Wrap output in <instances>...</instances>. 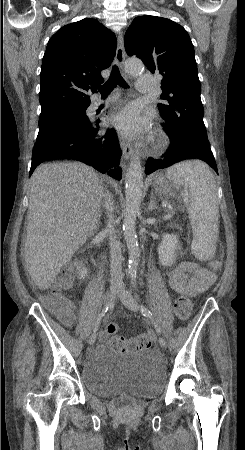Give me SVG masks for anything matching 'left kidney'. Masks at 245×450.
Wrapping results in <instances>:
<instances>
[{
  "mask_svg": "<svg viewBox=\"0 0 245 450\" xmlns=\"http://www.w3.org/2000/svg\"><path fill=\"white\" fill-rule=\"evenodd\" d=\"M178 239L173 234H165L161 243L158 245L157 251L159 254L160 263L163 266H171L176 259L175 250L178 247Z\"/></svg>",
  "mask_w": 245,
  "mask_h": 450,
  "instance_id": "1",
  "label": "left kidney"
}]
</instances>
